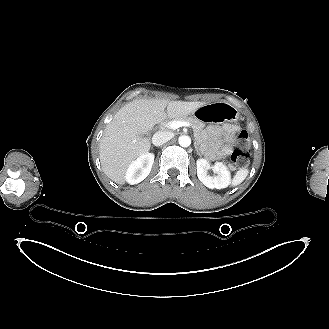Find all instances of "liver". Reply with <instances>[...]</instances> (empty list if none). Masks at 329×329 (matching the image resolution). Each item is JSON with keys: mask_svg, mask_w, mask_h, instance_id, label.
<instances>
[{"mask_svg": "<svg viewBox=\"0 0 329 329\" xmlns=\"http://www.w3.org/2000/svg\"><path fill=\"white\" fill-rule=\"evenodd\" d=\"M205 104L165 99H139L127 103L114 115L100 140L99 155L103 172L115 183L125 184L130 164L151 147L150 140L142 135L167 117H187Z\"/></svg>", "mask_w": 329, "mask_h": 329, "instance_id": "liver-1", "label": "liver"}]
</instances>
